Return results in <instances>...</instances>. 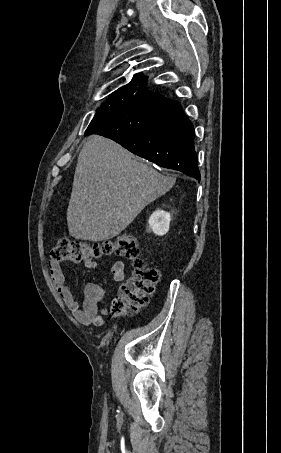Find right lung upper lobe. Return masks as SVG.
<instances>
[{"label": "right lung upper lobe", "mask_w": 281, "mask_h": 453, "mask_svg": "<svg viewBox=\"0 0 281 453\" xmlns=\"http://www.w3.org/2000/svg\"><path fill=\"white\" fill-rule=\"evenodd\" d=\"M146 79L147 77H144L143 74L134 75L130 83L112 93L107 102L104 103L101 107H110L127 100H133L136 97L149 93V91H147V88H145Z\"/></svg>", "instance_id": "obj_1"}]
</instances>
